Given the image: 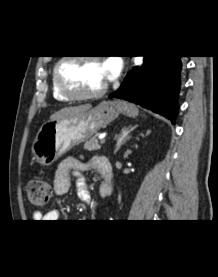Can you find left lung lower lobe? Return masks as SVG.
<instances>
[{
    "mask_svg": "<svg viewBox=\"0 0 218 277\" xmlns=\"http://www.w3.org/2000/svg\"><path fill=\"white\" fill-rule=\"evenodd\" d=\"M182 56H145L142 67H134L110 97L121 98L170 119L178 112Z\"/></svg>",
    "mask_w": 218,
    "mask_h": 277,
    "instance_id": "0a47b994",
    "label": "left lung lower lobe"
}]
</instances>
